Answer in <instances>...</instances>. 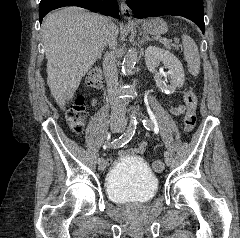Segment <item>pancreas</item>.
Instances as JSON below:
<instances>
[{"instance_id":"cf45deb5","label":"pancreas","mask_w":240,"mask_h":238,"mask_svg":"<svg viewBox=\"0 0 240 238\" xmlns=\"http://www.w3.org/2000/svg\"><path fill=\"white\" fill-rule=\"evenodd\" d=\"M168 50H170L171 49V44H170V42L168 41V40H166L165 42H162V41H160Z\"/></svg>"}]
</instances>
